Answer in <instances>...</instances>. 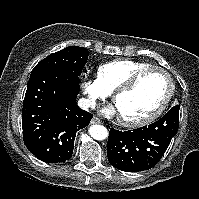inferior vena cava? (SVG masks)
<instances>
[{
  "label": "inferior vena cava",
  "instance_id": "1",
  "mask_svg": "<svg viewBox=\"0 0 199 199\" xmlns=\"http://www.w3.org/2000/svg\"><path fill=\"white\" fill-rule=\"evenodd\" d=\"M78 106L84 110H88L89 108L94 109L96 107V102L93 99L81 98L78 101Z\"/></svg>",
  "mask_w": 199,
  "mask_h": 199
}]
</instances>
